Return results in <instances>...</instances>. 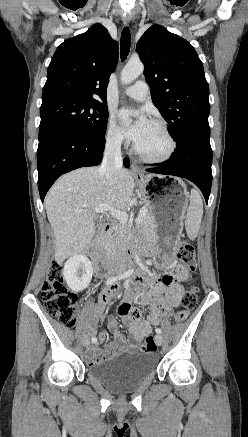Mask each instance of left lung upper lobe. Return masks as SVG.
<instances>
[{"label":"left lung upper lobe","mask_w":248,"mask_h":437,"mask_svg":"<svg viewBox=\"0 0 248 437\" xmlns=\"http://www.w3.org/2000/svg\"><path fill=\"white\" fill-rule=\"evenodd\" d=\"M137 52L151 97L176 144L191 130L209 126V87L191 44L160 25L142 35Z\"/></svg>","instance_id":"left-lung-upper-lobe-1"}]
</instances>
